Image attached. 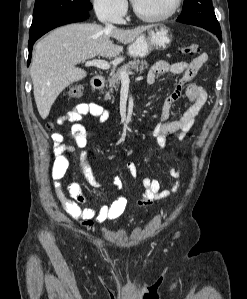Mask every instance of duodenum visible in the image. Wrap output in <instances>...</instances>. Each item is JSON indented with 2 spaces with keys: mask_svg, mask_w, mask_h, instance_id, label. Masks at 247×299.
<instances>
[{
  "mask_svg": "<svg viewBox=\"0 0 247 299\" xmlns=\"http://www.w3.org/2000/svg\"><path fill=\"white\" fill-rule=\"evenodd\" d=\"M104 82V77L101 75H97L91 79V86L94 89H101L104 86Z\"/></svg>",
  "mask_w": 247,
  "mask_h": 299,
  "instance_id": "obj_1",
  "label": "duodenum"
}]
</instances>
